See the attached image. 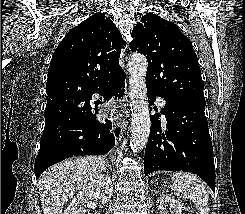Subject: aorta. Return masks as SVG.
Instances as JSON below:
<instances>
[{
	"label": "aorta",
	"mask_w": 245,
	"mask_h": 214,
	"mask_svg": "<svg viewBox=\"0 0 245 214\" xmlns=\"http://www.w3.org/2000/svg\"><path fill=\"white\" fill-rule=\"evenodd\" d=\"M147 59L144 55L134 53L128 63L129 98L131 106L130 147L133 151L141 150L148 141L151 120L146 94Z\"/></svg>",
	"instance_id": "1"
}]
</instances>
